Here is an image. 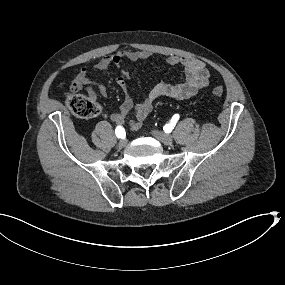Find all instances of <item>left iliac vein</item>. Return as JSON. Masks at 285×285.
I'll list each match as a JSON object with an SVG mask.
<instances>
[{
  "mask_svg": "<svg viewBox=\"0 0 285 285\" xmlns=\"http://www.w3.org/2000/svg\"><path fill=\"white\" fill-rule=\"evenodd\" d=\"M154 135L160 140L164 145H171L173 142V137L170 134H164L160 132H155Z\"/></svg>",
  "mask_w": 285,
  "mask_h": 285,
  "instance_id": "4c4485c4",
  "label": "left iliac vein"
}]
</instances>
